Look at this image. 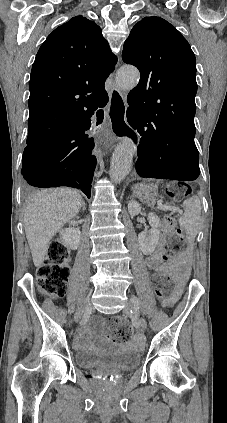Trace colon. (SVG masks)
I'll list each match as a JSON object with an SVG mask.
<instances>
[{"instance_id":"5ec220e1","label":"colon","mask_w":227,"mask_h":423,"mask_svg":"<svg viewBox=\"0 0 227 423\" xmlns=\"http://www.w3.org/2000/svg\"><path fill=\"white\" fill-rule=\"evenodd\" d=\"M189 192L187 188L171 189L167 195L172 199H179ZM164 225L167 229H173L175 222L170 216L165 217ZM184 248V241L180 229L175 230L169 242L165 246L162 255L163 260H168L170 254L179 253ZM70 278V254L60 243L50 246L44 263L38 270L37 283L40 290L51 297L59 298L64 296ZM152 283L157 296L167 299L173 294V282L170 277L162 273H155ZM113 328V335L121 339L128 338L132 333L130 324L123 318L115 317L109 321Z\"/></svg>"}]
</instances>
